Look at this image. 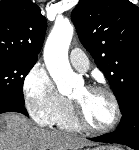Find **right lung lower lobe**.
Here are the masks:
<instances>
[{
  "label": "right lung lower lobe",
  "mask_w": 139,
  "mask_h": 150,
  "mask_svg": "<svg viewBox=\"0 0 139 150\" xmlns=\"http://www.w3.org/2000/svg\"><path fill=\"white\" fill-rule=\"evenodd\" d=\"M5 112H18L29 116L24 107V102H20L9 97L0 96V114Z\"/></svg>",
  "instance_id": "right-lung-lower-lobe-1"
}]
</instances>
